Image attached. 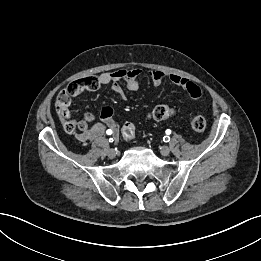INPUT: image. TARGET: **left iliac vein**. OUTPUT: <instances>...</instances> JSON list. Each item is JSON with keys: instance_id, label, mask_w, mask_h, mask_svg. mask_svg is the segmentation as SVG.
<instances>
[{"instance_id": "4c4485c4", "label": "left iliac vein", "mask_w": 261, "mask_h": 261, "mask_svg": "<svg viewBox=\"0 0 261 261\" xmlns=\"http://www.w3.org/2000/svg\"><path fill=\"white\" fill-rule=\"evenodd\" d=\"M160 152L163 156H168L170 154V148L168 146H163L161 147Z\"/></svg>"}]
</instances>
